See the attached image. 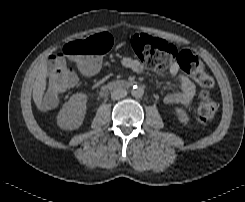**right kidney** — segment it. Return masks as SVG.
Segmentation results:
<instances>
[{"label":"right kidney","mask_w":245,"mask_h":202,"mask_svg":"<svg viewBox=\"0 0 245 202\" xmlns=\"http://www.w3.org/2000/svg\"><path fill=\"white\" fill-rule=\"evenodd\" d=\"M86 103V94L77 93L71 96L57 116L58 126L65 130L78 129L84 121Z\"/></svg>","instance_id":"right-kidney-1"}]
</instances>
